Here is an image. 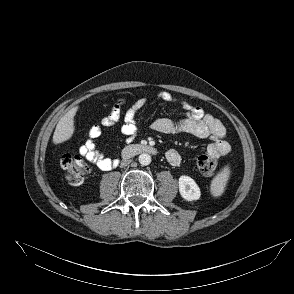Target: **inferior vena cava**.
<instances>
[{
    "label": "inferior vena cava",
    "instance_id": "602c4592",
    "mask_svg": "<svg viewBox=\"0 0 294 294\" xmlns=\"http://www.w3.org/2000/svg\"><path fill=\"white\" fill-rule=\"evenodd\" d=\"M130 162H131V160H124V161H122L121 167L127 166Z\"/></svg>",
    "mask_w": 294,
    "mask_h": 294
}]
</instances>
